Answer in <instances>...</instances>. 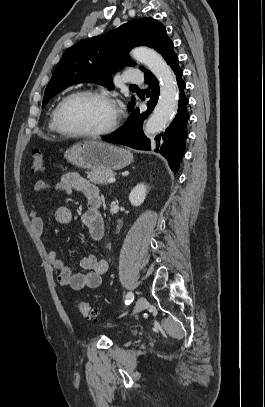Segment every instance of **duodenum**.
<instances>
[{"label": "duodenum", "mask_w": 265, "mask_h": 407, "mask_svg": "<svg viewBox=\"0 0 265 407\" xmlns=\"http://www.w3.org/2000/svg\"><path fill=\"white\" fill-rule=\"evenodd\" d=\"M91 206H92L95 210L100 209V208H101V200H100V198H98V199H93V200L91 201Z\"/></svg>", "instance_id": "obj_1"}]
</instances>
